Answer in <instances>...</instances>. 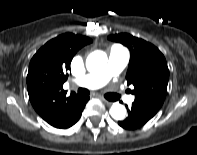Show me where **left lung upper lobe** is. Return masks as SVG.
Returning a JSON list of instances; mask_svg holds the SVG:
<instances>
[{
	"label": "left lung upper lobe",
	"mask_w": 197,
	"mask_h": 155,
	"mask_svg": "<svg viewBox=\"0 0 197 155\" xmlns=\"http://www.w3.org/2000/svg\"><path fill=\"white\" fill-rule=\"evenodd\" d=\"M108 39L129 48L126 79L128 84L134 85L133 104L154 116L167 94L169 70L164 55L151 43L127 33L110 35Z\"/></svg>",
	"instance_id": "1"
}]
</instances>
